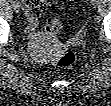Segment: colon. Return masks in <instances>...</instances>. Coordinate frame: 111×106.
<instances>
[{
	"instance_id": "1",
	"label": "colon",
	"mask_w": 111,
	"mask_h": 106,
	"mask_svg": "<svg viewBox=\"0 0 111 106\" xmlns=\"http://www.w3.org/2000/svg\"><path fill=\"white\" fill-rule=\"evenodd\" d=\"M63 23L61 20L56 18H50L45 24V32L47 34L53 35L58 33L62 29ZM75 54L70 50L62 51L56 60V64L59 67H70L75 62Z\"/></svg>"
}]
</instances>
